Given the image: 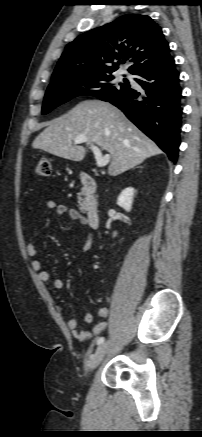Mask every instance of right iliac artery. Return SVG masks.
Instances as JSON below:
<instances>
[{
  "mask_svg": "<svg viewBox=\"0 0 202 437\" xmlns=\"http://www.w3.org/2000/svg\"><path fill=\"white\" fill-rule=\"evenodd\" d=\"M104 337H99L98 339H97V345H101L103 342H104Z\"/></svg>",
  "mask_w": 202,
  "mask_h": 437,
  "instance_id": "right-iliac-artery-1",
  "label": "right iliac artery"
}]
</instances>
